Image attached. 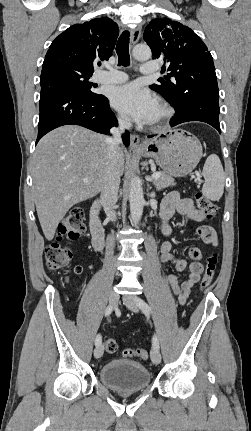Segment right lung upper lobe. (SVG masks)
I'll return each mask as SVG.
<instances>
[{"instance_id":"1","label":"right lung upper lobe","mask_w":251,"mask_h":431,"mask_svg":"<svg viewBox=\"0 0 251 431\" xmlns=\"http://www.w3.org/2000/svg\"><path fill=\"white\" fill-rule=\"evenodd\" d=\"M118 34V25L107 17L72 25L52 42L42 68L69 62L93 73L95 59L108 60L112 55Z\"/></svg>"}]
</instances>
